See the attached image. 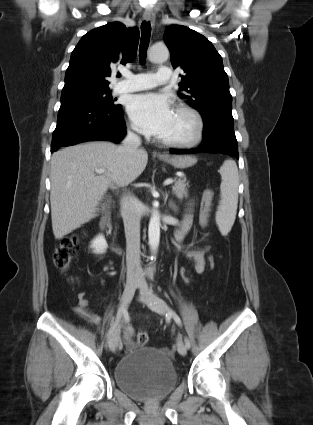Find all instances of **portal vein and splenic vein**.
I'll return each instance as SVG.
<instances>
[{"mask_svg": "<svg viewBox=\"0 0 313 425\" xmlns=\"http://www.w3.org/2000/svg\"><path fill=\"white\" fill-rule=\"evenodd\" d=\"M96 172L97 173H105V170L104 169H96ZM171 183H173V180L172 179H166L164 181V185H169Z\"/></svg>", "mask_w": 313, "mask_h": 425, "instance_id": "18ae733b", "label": "portal vein and splenic vein"}]
</instances>
